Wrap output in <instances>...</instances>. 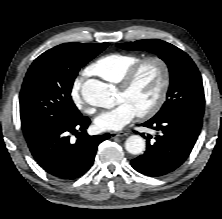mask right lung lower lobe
Returning a JSON list of instances; mask_svg holds the SVG:
<instances>
[{
	"mask_svg": "<svg viewBox=\"0 0 222 219\" xmlns=\"http://www.w3.org/2000/svg\"><path fill=\"white\" fill-rule=\"evenodd\" d=\"M89 124L90 119L86 116H72L27 140L34 159L56 178H79L93 165L98 145L110 138L108 133L88 135L86 129ZM70 135H76V142L70 140Z\"/></svg>",
	"mask_w": 222,
	"mask_h": 219,
	"instance_id": "right-lung-lower-lobe-1",
	"label": "right lung lower lobe"
}]
</instances>
